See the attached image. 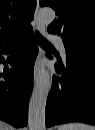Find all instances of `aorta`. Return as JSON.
<instances>
[{"mask_svg": "<svg viewBox=\"0 0 95 130\" xmlns=\"http://www.w3.org/2000/svg\"><path fill=\"white\" fill-rule=\"evenodd\" d=\"M38 20L43 25H50L55 19L52 8H42L37 13ZM51 86L50 74L43 70L39 75L30 98L28 110L29 130H46L45 107Z\"/></svg>", "mask_w": 95, "mask_h": 130, "instance_id": "762f6f07", "label": "aorta"}]
</instances>
